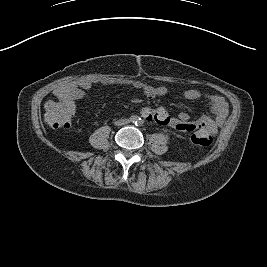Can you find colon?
<instances>
[{
    "label": "colon",
    "mask_w": 267,
    "mask_h": 267,
    "mask_svg": "<svg viewBox=\"0 0 267 267\" xmlns=\"http://www.w3.org/2000/svg\"><path fill=\"white\" fill-rule=\"evenodd\" d=\"M45 121L52 129H64L71 125V116L68 110L56 101H48L44 107ZM192 142L198 146L206 147L211 144L212 136L205 132L197 131L192 136Z\"/></svg>",
    "instance_id": "5ec220e1"
}]
</instances>
